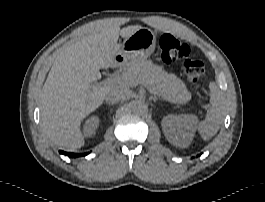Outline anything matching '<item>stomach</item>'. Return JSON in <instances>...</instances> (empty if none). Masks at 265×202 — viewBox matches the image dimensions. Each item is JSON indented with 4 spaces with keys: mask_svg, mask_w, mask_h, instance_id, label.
I'll return each mask as SVG.
<instances>
[{
    "mask_svg": "<svg viewBox=\"0 0 265 202\" xmlns=\"http://www.w3.org/2000/svg\"><path fill=\"white\" fill-rule=\"evenodd\" d=\"M156 34L148 29L141 28L120 44L119 55L126 60L144 61L155 50Z\"/></svg>",
    "mask_w": 265,
    "mask_h": 202,
    "instance_id": "0dacf381",
    "label": "stomach"
}]
</instances>
